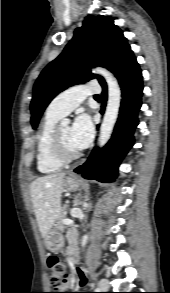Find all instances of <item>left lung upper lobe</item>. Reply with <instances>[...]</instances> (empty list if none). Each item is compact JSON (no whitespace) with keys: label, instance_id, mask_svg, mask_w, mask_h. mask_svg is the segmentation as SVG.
Returning a JSON list of instances; mask_svg holds the SVG:
<instances>
[{"label":"left lung upper lobe","instance_id":"1","mask_svg":"<svg viewBox=\"0 0 170 293\" xmlns=\"http://www.w3.org/2000/svg\"><path fill=\"white\" fill-rule=\"evenodd\" d=\"M123 32L110 16H87L83 26L75 30L63 52L48 64L37 79L31 102V124L37 128L40 117L50 101L61 91L92 78L104 79L90 72L102 66L111 71L113 65L127 51Z\"/></svg>","mask_w":170,"mask_h":293}]
</instances>
